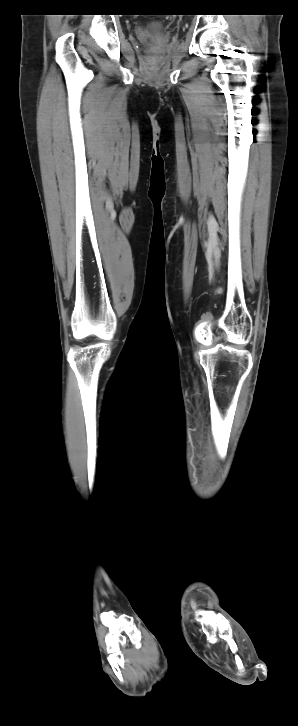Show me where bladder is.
I'll list each match as a JSON object with an SVG mask.
<instances>
[{
  "instance_id": "obj_1",
  "label": "bladder",
  "mask_w": 298,
  "mask_h": 726,
  "mask_svg": "<svg viewBox=\"0 0 298 726\" xmlns=\"http://www.w3.org/2000/svg\"><path fill=\"white\" fill-rule=\"evenodd\" d=\"M152 27L154 29H156V30H162L163 29V24L161 22H156V23H153L152 24Z\"/></svg>"
}]
</instances>
